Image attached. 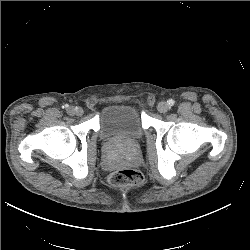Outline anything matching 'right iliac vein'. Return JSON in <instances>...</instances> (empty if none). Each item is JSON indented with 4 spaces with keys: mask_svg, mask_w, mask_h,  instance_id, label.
<instances>
[{
    "mask_svg": "<svg viewBox=\"0 0 250 250\" xmlns=\"http://www.w3.org/2000/svg\"><path fill=\"white\" fill-rule=\"evenodd\" d=\"M67 111L70 115H77V116H82L84 113L83 109L80 107L78 108L69 107Z\"/></svg>",
    "mask_w": 250,
    "mask_h": 250,
    "instance_id": "63e3f726",
    "label": "right iliac vein"
}]
</instances>
